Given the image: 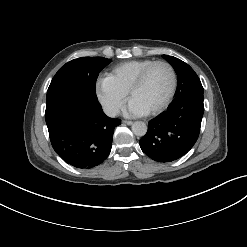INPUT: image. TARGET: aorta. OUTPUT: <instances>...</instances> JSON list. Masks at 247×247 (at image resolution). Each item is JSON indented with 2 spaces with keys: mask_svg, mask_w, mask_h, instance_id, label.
Returning a JSON list of instances; mask_svg holds the SVG:
<instances>
[{
  "mask_svg": "<svg viewBox=\"0 0 247 247\" xmlns=\"http://www.w3.org/2000/svg\"><path fill=\"white\" fill-rule=\"evenodd\" d=\"M132 131L136 136H144L147 132V126L142 121H136L132 125Z\"/></svg>",
  "mask_w": 247,
  "mask_h": 247,
  "instance_id": "1",
  "label": "aorta"
}]
</instances>
